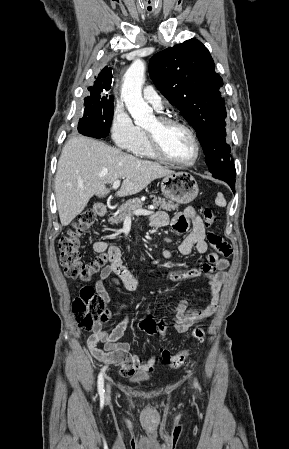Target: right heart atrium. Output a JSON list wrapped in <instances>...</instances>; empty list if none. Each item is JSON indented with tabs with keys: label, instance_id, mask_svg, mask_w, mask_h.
<instances>
[{
	"label": "right heart atrium",
	"instance_id": "1",
	"mask_svg": "<svg viewBox=\"0 0 289 449\" xmlns=\"http://www.w3.org/2000/svg\"><path fill=\"white\" fill-rule=\"evenodd\" d=\"M110 130L115 145L131 152H134L139 146L143 136L141 128L134 123L129 113L121 105L114 108Z\"/></svg>",
	"mask_w": 289,
	"mask_h": 449
}]
</instances>
